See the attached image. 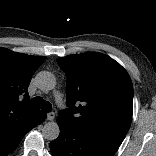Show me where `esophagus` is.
Returning <instances> with one entry per match:
<instances>
[{"label":"esophagus","mask_w":156,"mask_h":156,"mask_svg":"<svg viewBox=\"0 0 156 156\" xmlns=\"http://www.w3.org/2000/svg\"><path fill=\"white\" fill-rule=\"evenodd\" d=\"M54 118H55V113L54 112H50V113L47 114V119L49 121L54 120Z\"/></svg>","instance_id":"esophagus-1"}]
</instances>
